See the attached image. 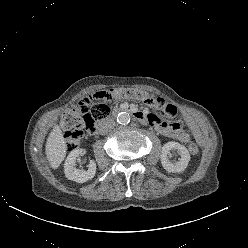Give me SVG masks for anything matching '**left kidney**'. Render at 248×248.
<instances>
[{
    "label": "left kidney",
    "instance_id": "obj_1",
    "mask_svg": "<svg viewBox=\"0 0 248 248\" xmlns=\"http://www.w3.org/2000/svg\"><path fill=\"white\" fill-rule=\"evenodd\" d=\"M171 150H176L181 156L179 161L170 162L169 157H171ZM160 158L161 164L167 172L180 173L186 169L190 161V154L185 146L179 144L178 142L170 141L164 144V146L162 147Z\"/></svg>",
    "mask_w": 248,
    "mask_h": 248
}]
</instances>
